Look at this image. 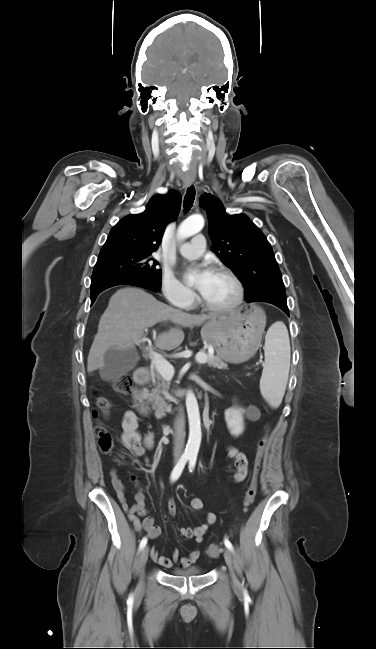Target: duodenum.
<instances>
[{"label":"duodenum","mask_w":376,"mask_h":649,"mask_svg":"<svg viewBox=\"0 0 376 649\" xmlns=\"http://www.w3.org/2000/svg\"><path fill=\"white\" fill-rule=\"evenodd\" d=\"M133 379H134V383H135L136 387L132 391V397H133L134 402L136 404L140 405L141 397H140V390H139L138 387H140V386H142L143 384L146 383V381L148 379V369L146 367L138 368L134 372ZM185 393H186L185 390L179 389V390H176L174 394H175L176 397L180 398V397H183L185 395ZM161 413L163 414L164 411L162 410Z\"/></svg>","instance_id":"duodenum-1"}]
</instances>
